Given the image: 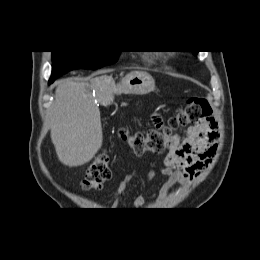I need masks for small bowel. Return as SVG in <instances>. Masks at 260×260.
<instances>
[{
	"label": "small bowel",
	"mask_w": 260,
	"mask_h": 260,
	"mask_svg": "<svg viewBox=\"0 0 260 260\" xmlns=\"http://www.w3.org/2000/svg\"><path fill=\"white\" fill-rule=\"evenodd\" d=\"M152 123L154 127L163 126L159 113H153ZM218 137L217 123L212 118L190 126L184 137H173L162 165L151 163V169L146 173L144 181L150 182L157 175L165 176L166 181L162 185L161 194H165L176 183L184 184L192 181L211 164L217 151ZM134 175V172L127 175L117 187L112 201L113 207L118 205L120 196L127 190ZM133 204L136 208L143 207L144 197L136 196Z\"/></svg>",
	"instance_id": "obj_1"
}]
</instances>
